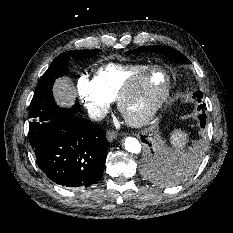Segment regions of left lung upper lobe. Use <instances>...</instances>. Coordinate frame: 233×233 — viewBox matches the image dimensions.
<instances>
[{
  "mask_svg": "<svg viewBox=\"0 0 233 233\" xmlns=\"http://www.w3.org/2000/svg\"><path fill=\"white\" fill-rule=\"evenodd\" d=\"M139 52H152V53H162L165 56L169 57L170 59H172L173 61L176 62H181L184 64H189L190 61L179 51H177L174 48L168 47V46H142L139 47L136 50L131 51L130 53L134 54V53H139ZM194 98H197L199 101H201V98L203 97L202 92L201 91H197L194 93ZM205 107V104H202L199 106V108L203 111Z\"/></svg>",
  "mask_w": 233,
  "mask_h": 233,
  "instance_id": "obj_1",
  "label": "left lung upper lobe"
}]
</instances>
